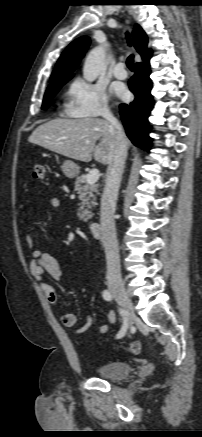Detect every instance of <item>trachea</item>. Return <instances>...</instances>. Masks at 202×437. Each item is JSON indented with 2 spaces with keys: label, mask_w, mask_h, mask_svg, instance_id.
Segmentation results:
<instances>
[{
  "label": "trachea",
  "mask_w": 202,
  "mask_h": 437,
  "mask_svg": "<svg viewBox=\"0 0 202 437\" xmlns=\"http://www.w3.org/2000/svg\"><path fill=\"white\" fill-rule=\"evenodd\" d=\"M126 39H127L128 45L131 46V38H130V35L128 32L126 33ZM126 65L129 68V70H131V71L134 70V56H133V54H131L127 58Z\"/></svg>",
  "instance_id": "1"
}]
</instances>
